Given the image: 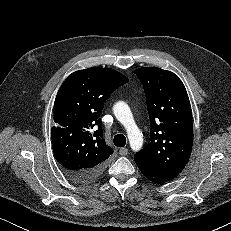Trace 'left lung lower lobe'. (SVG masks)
Returning <instances> with one entry per match:
<instances>
[{
  "mask_svg": "<svg viewBox=\"0 0 231 231\" xmlns=\"http://www.w3.org/2000/svg\"><path fill=\"white\" fill-rule=\"evenodd\" d=\"M134 160L146 178L156 184L168 182L179 175V173L163 171L137 155H134Z\"/></svg>",
  "mask_w": 231,
  "mask_h": 231,
  "instance_id": "0a47b994",
  "label": "left lung lower lobe"
}]
</instances>
